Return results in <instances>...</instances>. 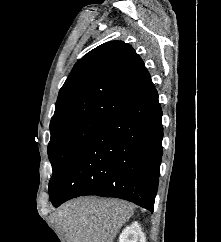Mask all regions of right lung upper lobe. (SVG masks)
Here are the masks:
<instances>
[{
  "instance_id": "cb5924a9",
  "label": "right lung upper lobe",
  "mask_w": 221,
  "mask_h": 242,
  "mask_svg": "<svg viewBox=\"0 0 221 242\" xmlns=\"http://www.w3.org/2000/svg\"><path fill=\"white\" fill-rule=\"evenodd\" d=\"M153 85L129 44L104 43L74 65L59 92L50 130L81 120L104 121Z\"/></svg>"
}]
</instances>
